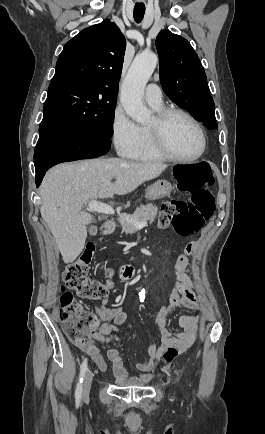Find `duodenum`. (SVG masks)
<instances>
[{"instance_id":"duodenum-1","label":"duodenum","mask_w":265,"mask_h":434,"mask_svg":"<svg viewBox=\"0 0 265 434\" xmlns=\"http://www.w3.org/2000/svg\"><path fill=\"white\" fill-rule=\"evenodd\" d=\"M114 225L112 223L106 222L104 223L101 228L99 229V232L102 234H109L113 232ZM134 273L133 269L131 267H123L120 270V277L124 279H131L133 278Z\"/></svg>"}]
</instances>
